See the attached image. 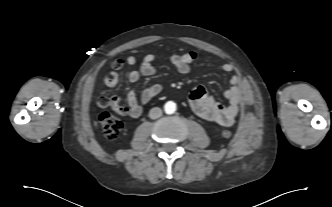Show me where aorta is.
I'll list each match as a JSON object with an SVG mask.
<instances>
[{
    "instance_id": "obj_1",
    "label": "aorta",
    "mask_w": 332,
    "mask_h": 207,
    "mask_svg": "<svg viewBox=\"0 0 332 207\" xmlns=\"http://www.w3.org/2000/svg\"><path fill=\"white\" fill-rule=\"evenodd\" d=\"M164 110L166 114H173L176 111V104L169 101L164 105Z\"/></svg>"
}]
</instances>
